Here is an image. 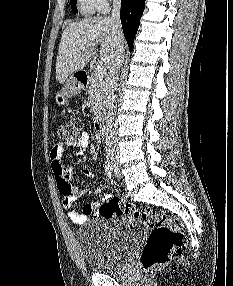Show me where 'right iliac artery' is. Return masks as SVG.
<instances>
[{"instance_id":"obj_1","label":"right iliac artery","mask_w":233,"mask_h":286,"mask_svg":"<svg viewBox=\"0 0 233 286\" xmlns=\"http://www.w3.org/2000/svg\"><path fill=\"white\" fill-rule=\"evenodd\" d=\"M105 172H106V175L111 178L112 177V167L110 165L109 162L106 163L105 165Z\"/></svg>"}]
</instances>
